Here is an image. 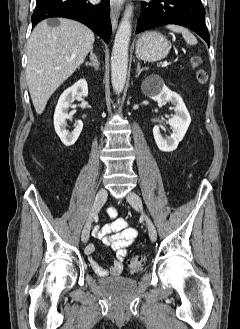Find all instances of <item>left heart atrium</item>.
Wrapping results in <instances>:
<instances>
[{
	"instance_id": "1",
	"label": "left heart atrium",
	"mask_w": 240,
	"mask_h": 329,
	"mask_svg": "<svg viewBox=\"0 0 240 329\" xmlns=\"http://www.w3.org/2000/svg\"><path fill=\"white\" fill-rule=\"evenodd\" d=\"M113 2L117 3V2H120L121 0H112Z\"/></svg>"
}]
</instances>
